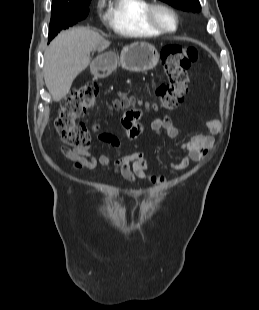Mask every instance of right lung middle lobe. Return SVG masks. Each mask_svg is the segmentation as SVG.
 <instances>
[{
	"mask_svg": "<svg viewBox=\"0 0 259 310\" xmlns=\"http://www.w3.org/2000/svg\"><path fill=\"white\" fill-rule=\"evenodd\" d=\"M89 3L90 0L82 4L51 8L49 41L61 30L67 29L79 20L84 19L89 13Z\"/></svg>",
	"mask_w": 259,
	"mask_h": 310,
	"instance_id": "obj_1",
	"label": "right lung middle lobe"
}]
</instances>
